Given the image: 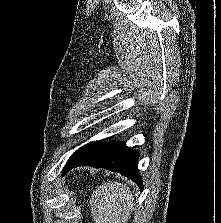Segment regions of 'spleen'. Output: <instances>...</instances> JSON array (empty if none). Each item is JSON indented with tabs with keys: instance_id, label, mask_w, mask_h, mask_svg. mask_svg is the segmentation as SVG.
Wrapping results in <instances>:
<instances>
[{
	"instance_id": "spleen-1",
	"label": "spleen",
	"mask_w": 221,
	"mask_h": 223,
	"mask_svg": "<svg viewBox=\"0 0 221 223\" xmlns=\"http://www.w3.org/2000/svg\"><path fill=\"white\" fill-rule=\"evenodd\" d=\"M133 195L119 182H104L91 195V215L95 223H126L133 210Z\"/></svg>"
}]
</instances>
